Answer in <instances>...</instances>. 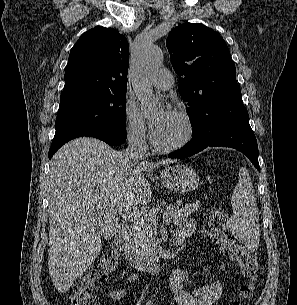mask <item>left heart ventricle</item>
<instances>
[{
  "label": "left heart ventricle",
  "mask_w": 297,
  "mask_h": 305,
  "mask_svg": "<svg viewBox=\"0 0 297 305\" xmlns=\"http://www.w3.org/2000/svg\"><path fill=\"white\" fill-rule=\"evenodd\" d=\"M185 133L183 121L174 113H171L163 127L156 133L154 138L163 145L177 142Z\"/></svg>",
  "instance_id": "1"
}]
</instances>
